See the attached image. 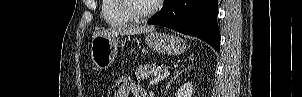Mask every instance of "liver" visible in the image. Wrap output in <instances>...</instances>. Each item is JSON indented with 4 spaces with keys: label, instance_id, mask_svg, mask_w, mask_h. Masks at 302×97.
Returning a JSON list of instances; mask_svg holds the SVG:
<instances>
[{
    "label": "liver",
    "instance_id": "liver-1",
    "mask_svg": "<svg viewBox=\"0 0 302 97\" xmlns=\"http://www.w3.org/2000/svg\"><path fill=\"white\" fill-rule=\"evenodd\" d=\"M154 32V27L147 25H122L112 27L107 30L96 31L93 38L96 36H111V35H135L142 33Z\"/></svg>",
    "mask_w": 302,
    "mask_h": 97
}]
</instances>
